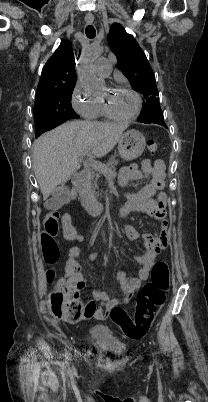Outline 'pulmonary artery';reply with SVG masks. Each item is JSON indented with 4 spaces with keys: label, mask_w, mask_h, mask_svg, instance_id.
Segmentation results:
<instances>
[{
    "label": "pulmonary artery",
    "mask_w": 208,
    "mask_h": 402,
    "mask_svg": "<svg viewBox=\"0 0 208 402\" xmlns=\"http://www.w3.org/2000/svg\"><path fill=\"white\" fill-rule=\"evenodd\" d=\"M91 51H97L98 53L100 52V50L95 47L92 48ZM107 63H108V59L106 57H99L94 62L92 69L95 73H97L101 76H107L109 74V68H108Z\"/></svg>",
    "instance_id": "pulmonary-artery-1"
}]
</instances>
